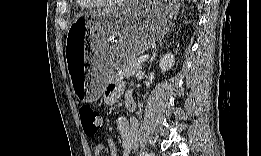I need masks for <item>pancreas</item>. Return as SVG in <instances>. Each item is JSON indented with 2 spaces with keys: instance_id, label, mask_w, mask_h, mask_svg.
Returning a JSON list of instances; mask_svg holds the SVG:
<instances>
[{
  "instance_id": "1",
  "label": "pancreas",
  "mask_w": 261,
  "mask_h": 156,
  "mask_svg": "<svg viewBox=\"0 0 261 156\" xmlns=\"http://www.w3.org/2000/svg\"><path fill=\"white\" fill-rule=\"evenodd\" d=\"M138 56H132L127 59L117 70L119 76L129 77L142 68L143 63L137 61Z\"/></svg>"
}]
</instances>
